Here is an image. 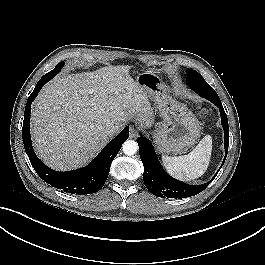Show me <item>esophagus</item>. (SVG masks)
<instances>
[{"instance_id": "34e87169", "label": "esophagus", "mask_w": 265, "mask_h": 265, "mask_svg": "<svg viewBox=\"0 0 265 265\" xmlns=\"http://www.w3.org/2000/svg\"><path fill=\"white\" fill-rule=\"evenodd\" d=\"M130 138H136L138 136V130L135 126L130 127Z\"/></svg>"}]
</instances>
